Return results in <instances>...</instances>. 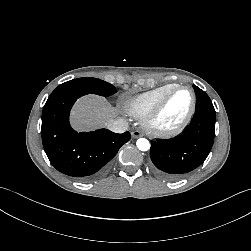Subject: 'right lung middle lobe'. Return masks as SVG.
<instances>
[{
  "label": "right lung middle lobe",
  "instance_id": "right-lung-middle-lobe-1",
  "mask_svg": "<svg viewBox=\"0 0 251 251\" xmlns=\"http://www.w3.org/2000/svg\"><path fill=\"white\" fill-rule=\"evenodd\" d=\"M65 92L110 96L116 93V88L103 80L86 77L70 80L59 85L50 96Z\"/></svg>",
  "mask_w": 251,
  "mask_h": 251
}]
</instances>
